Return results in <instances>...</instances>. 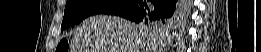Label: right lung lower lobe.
I'll return each mask as SVG.
<instances>
[{
    "instance_id": "obj_1",
    "label": "right lung lower lobe",
    "mask_w": 261,
    "mask_h": 52,
    "mask_svg": "<svg viewBox=\"0 0 261 52\" xmlns=\"http://www.w3.org/2000/svg\"><path fill=\"white\" fill-rule=\"evenodd\" d=\"M123 0L117 5L105 10L104 14L117 15L134 22L154 24L172 20L181 9L177 0Z\"/></svg>"
}]
</instances>
